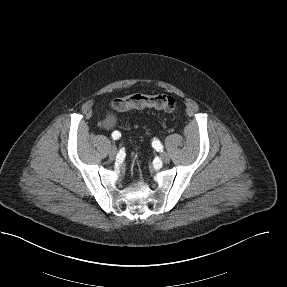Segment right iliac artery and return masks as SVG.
<instances>
[{
	"mask_svg": "<svg viewBox=\"0 0 287 287\" xmlns=\"http://www.w3.org/2000/svg\"><path fill=\"white\" fill-rule=\"evenodd\" d=\"M121 136V134L118 131H115L112 133V137L114 140L118 139Z\"/></svg>",
	"mask_w": 287,
	"mask_h": 287,
	"instance_id": "1",
	"label": "right iliac artery"
}]
</instances>
